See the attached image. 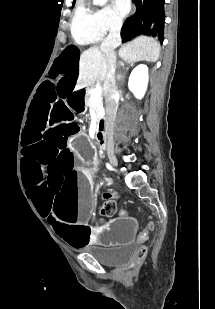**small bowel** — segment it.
I'll return each mask as SVG.
<instances>
[{
    "label": "small bowel",
    "instance_id": "c3829d8e",
    "mask_svg": "<svg viewBox=\"0 0 215 309\" xmlns=\"http://www.w3.org/2000/svg\"><path fill=\"white\" fill-rule=\"evenodd\" d=\"M121 216H122L123 218H126V217H127V212H126V211H122V212H121Z\"/></svg>",
    "mask_w": 215,
    "mask_h": 309
}]
</instances>
